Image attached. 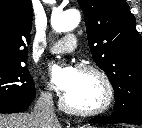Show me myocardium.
<instances>
[{"label":"myocardium","mask_w":142,"mask_h":128,"mask_svg":"<svg viewBox=\"0 0 142 128\" xmlns=\"http://www.w3.org/2000/svg\"><path fill=\"white\" fill-rule=\"evenodd\" d=\"M77 69L78 71H81V72L92 73L100 79L105 89L104 101L100 106L96 108L82 109V108L71 105L67 101L66 97L64 96L61 99V106L63 107V109H65L68 112L81 115V116H96L108 111L113 105L114 98H115L114 87L108 75L101 68L91 64H85V63L79 64Z\"/></svg>","instance_id":"1"}]
</instances>
